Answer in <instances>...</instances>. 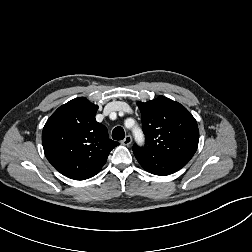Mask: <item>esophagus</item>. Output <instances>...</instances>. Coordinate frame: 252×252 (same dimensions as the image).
Segmentation results:
<instances>
[{
  "label": "esophagus",
  "mask_w": 252,
  "mask_h": 252,
  "mask_svg": "<svg viewBox=\"0 0 252 252\" xmlns=\"http://www.w3.org/2000/svg\"><path fill=\"white\" fill-rule=\"evenodd\" d=\"M132 142V137L130 135H127L123 140H122V144L125 146L130 145Z\"/></svg>",
  "instance_id": "34e87169"
}]
</instances>
